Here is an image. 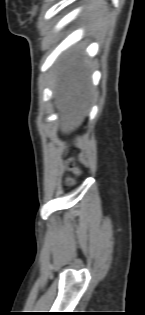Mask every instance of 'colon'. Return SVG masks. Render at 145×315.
<instances>
[{
	"label": "colon",
	"mask_w": 145,
	"mask_h": 315,
	"mask_svg": "<svg viewBox=\"0 0 145 315\" xmlns=\"http://www.w3.org/2000/svg\"><path fill=\"white\" fill-rule=\"evenodd\" d=\"M73 171H74L76 174H78V173L80 172V170H79L78 168H76V167L73 168ZM71 183H72V182H71L70 180H67V181H66V186H70Z\"/></svg>",
	"instance_id": "1"
}]
</instances>
